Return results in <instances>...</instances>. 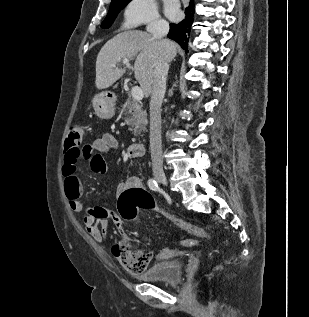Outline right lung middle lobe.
Instances as JSON below:
<instances>
[{
    "label": "right lung middle lobe",
    "instance_id": "right-lung-middle-lobe-1",
    "mask_svg": "<svg viewBox=\"0 0 309 317\" xmlns=\"http://www.w3.org/2000/svg\"><path fill=\"white\" fill-rule=\"evenodd\" d=\"M130 1L131 0H112L108 15L102 22L101 27L109 28L112 25L119 11L123 9Z\"/></svg>",
    "mask_w": 309,
    "mask_h": 317
}]
</instances>
